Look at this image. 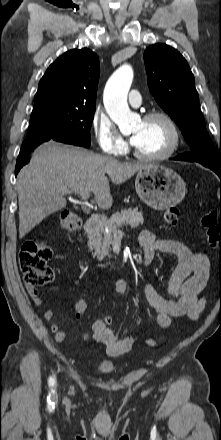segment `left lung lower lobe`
I'll use <instances>...</instances> for the list:
<instances>
[{
    "mask_svg": "<svg viewBox=\"0 0 221 440\" xmlns=\"http://www.w3.org/2000/svg\"><path fill=\"white\" fill-rule=\"evenodd\" d=\"M174 159H175V160H184V161H185V159H184L181 155H178V156L175 157ZM214 172H215V173L221 178V170L215 169Z\"/></svg>",
    "mask_w": 221,
    "mask_h": 440,
    "instance_id": "1",
    "label": "left lung lower lobe"
}]
</instances>
